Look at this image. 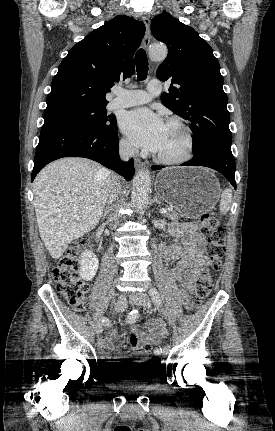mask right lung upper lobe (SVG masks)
Instances as JSON below:
<instances>
[{
  "mask_svg": "<svg viewBox=\"0 0 275 431\" xmlns=\"http://www.w3.org/2000/svg\"><path fill=\"white\" fill-rule=\"evenodd\" d=\"M144 32L143 22L116 16L73 46L52 80L45 112L107 104L114 83L134 73Z\"/></svg>",
  "mask_w": 275,
  "mask_h": 431,
  "instance_id": "obj_1",
  "label": "right lung upper lobe"
}]
</instances>
